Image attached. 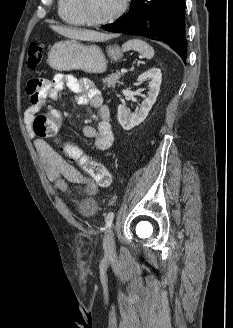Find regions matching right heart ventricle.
Returning <instances> with one entry per match:
<instances>
[{
	"label": "right heart ventricle",
	"mask_w": 233,
	"mask_h": 328,
	"mask_svg": "<svg viewBox=\"0 0 233 328\" xmlns=\"http://www.w3.org/2000/svg\"><path fill=\"white\" fill-rule=\"evenodd\" d=\"M58 14L68 24L76 26L86 24L76 8L75 0H58Z\"/></svg>",
	"instance_id": "e07e8e85"
}]
</instances>
